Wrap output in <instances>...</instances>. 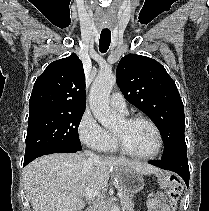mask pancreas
Returning a JSON list of instances; mask_svg holds the SVG:
<instances>
[{
	"mask_svg": "<svg viewBox=\"0 0 209 211\" xmlns=\"http://www.w3.org/2000/svg\"><path fill=\"white\" fill-rule=\"evenodd\" d=\"M121 193L122 196L120 197V203L123 207V211H135L134 203L132 202L130 196L124 191ZM92 211H107L106 202L103 200V198H99L95 201Z\"/></svg>",
	"mask_w": 209,
	"mask_h": 211,
	"instance_id": "cf45deb5",
	"label": "pancreas"
}]
</instances>
